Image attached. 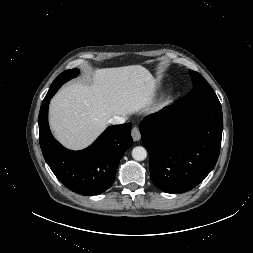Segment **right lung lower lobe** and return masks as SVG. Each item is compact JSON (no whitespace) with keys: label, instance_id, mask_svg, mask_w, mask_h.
I'll use <instances>...</instances> for the list:
<instances>
[{"label":"right lung lower lobe","instance_id":"98d812e1","mask_svg":"<svg viewBox=\"0 0 253 253\" xmlns=\"http://www.w3.org/2000/svg\"><path fill=\"white\" fill-rule=\"evenodd\" d=\"M57 91L47 93L39 113V140L43 156L58 180L81 195H98L116 177L124 152L132 146L131 123L108 127L88 148L71 151L52 136L48 125V106Z\"/></svg>","mask_w":253,"mask_h":253}]
</instances>
